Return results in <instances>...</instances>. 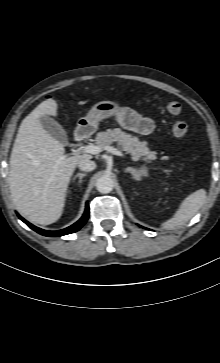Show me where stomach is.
Segmentation results:
<instances>
[{
    "label": "stomach",
    "mask_w": 220,
    "mask_h": 363,
    "mask_svg": "<svg viewBox=\"0 0 220 363\" xmlns=\"http://www.w3.org/2000/svg\"><path fill=\"white\" fill-rule=\"evenodd\" d=\"M119 110V104L114 101H102L95 104L85 117L79 118L78 128H84L89 133L98 129L99 122L113 116Z\"/></svg>",
    "instance_id": "1"
}]
</instances>
